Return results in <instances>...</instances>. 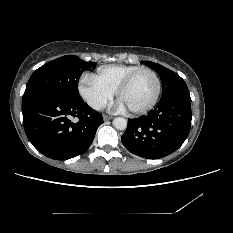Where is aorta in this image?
<instances>
[{
	"label": "aorta",
	"instance_id": "obj_1",
	"mask_svg": "<svg viewBox=\"0 0 233 233\" xmlns=\"http://www.w3.org/2000/svg\"><path fill=\"white\" fill-rule=\"evenodd\" d=\"M113 126L116 129L124 130L127 127V120L123 117H117L113 120Z\"/></svg>",
	"mask_w": 233,
	"mask_h": 233
}]
</instances>
